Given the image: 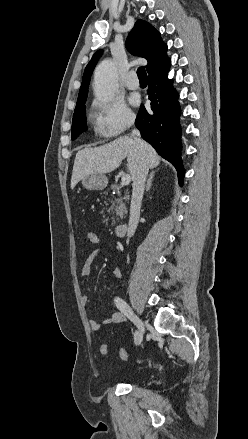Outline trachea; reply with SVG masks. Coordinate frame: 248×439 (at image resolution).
I'll use <instances>...</instances> for the list:
<instances>
[{
  "label": "trachea",
  "mask_w": 248,
  "mask_h": 439,
  "mask_svg": "<svg viewBox=\"0 0 248 439\" xmlns=\"http://www.w3.org/2000/svg\"><path fill=\"white\" fill-rule=\"evenodd\" d=\"M137 76H138L139 80H147L148 79L147 73H146V70L144 67H139L137 69Z\"/></svg>",
  "instance_id": "obj_1"
}]
</instances>
